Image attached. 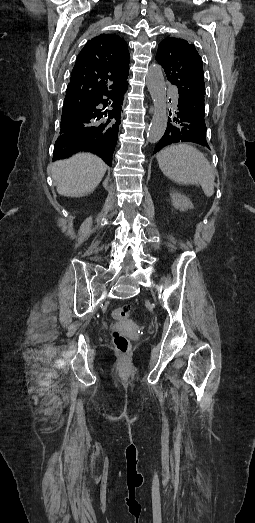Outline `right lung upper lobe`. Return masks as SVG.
<instances>
[{
    "mask_svg": "<svg viewBox=\"0 0 255 523\" xmlns=\"http://www.w3.org/2000/svg\"><path fill=\"white\" fill-rule=\"evenodd\" d=\"M128 62V45L119 36L102 34L86 43L76 59L67 87L53 160L67 158L77 151H90L112 165L128 84ZM92 101L100 103V139L86 144L79 106Z\"/></svg>",
    "mask_w": 255,
    "mask_h": 523,
    "instance_id": "obj_1",
    "label": "right lung upper lobe"
}]
</instances>
